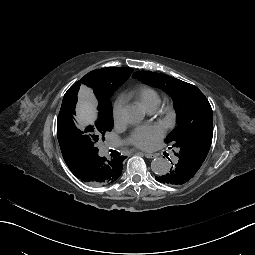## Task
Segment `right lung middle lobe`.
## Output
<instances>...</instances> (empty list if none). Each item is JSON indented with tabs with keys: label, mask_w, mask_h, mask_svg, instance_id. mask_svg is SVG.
<instances>
[{
	"label": "right lung middle lobe",
	"mask_w": 255,
	"mask_h": 255,
	"mask_svg": "<svg viewBox=\"0 0 255 255\" xmlns=\"http://www.w3.org/2000/svg\"><path fill=\"white\" fill-rule=\"evenodd\" d=\"M98 118L94 127H88L85 131L78 129L72 119L75 108L61 109L57 123V137L60 146L72 147L76 153L86 154L91 146L103 137L106 131L113 128V109L110 98L98 100Z\"/></svg>",
	"instance_id": "obj_1"
}]
</instances>
